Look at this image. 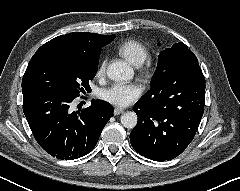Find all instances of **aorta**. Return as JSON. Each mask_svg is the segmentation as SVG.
<instances>
[{
  "mask_svg": "<svg viewBox=\"0 0 240 191\" xmlns=\"http://www.w3.org/2000/svg\"><path fill=\"white\" fill-rule=\"evenodd\" d=\"M107 76L114 81L131 80L134 76L133 68L124 61H114L107 67ZM121 124L128 129L137 125L138 118L135 112H126L121 118Z\"/></svg>",
  "mask_w": 240,
  "mask_h": 191,
  "instance_id": "obj_1",
  "label": "aorta"
}]
</instances>
